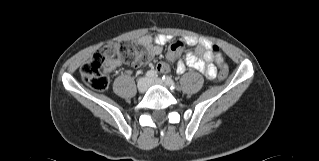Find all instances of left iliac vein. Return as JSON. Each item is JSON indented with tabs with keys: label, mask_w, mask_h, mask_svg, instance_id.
<instances>
[{
	"label": "left iliac vein",
	"mask_w": 319,
	"mask_h": 161,
	"mask_svg": "<svg viewBox=\"0 0 319 161\" xmlns=\"http://www.w3.org/2000/svg\"><path fill=\"white\" fill-rule=\"evenodd\" d=\"M149 84H150V85L166 86V84H165V83L163 82V80L160 79V78L151 79V80L149 81Z\"/></svg>",
	"instance_id": "obj_1"
}]
</instances>
